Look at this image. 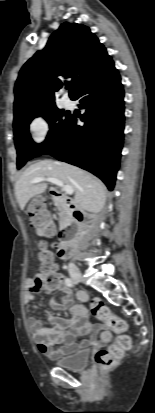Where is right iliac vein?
Wrapping results in <instances>:
<instances>
[{"label": "right iliac vein", "mask_w": 155, "mask_h": 413, "mask_svg": "<svg viewBox=\"0 0 155 413\" xmlns=\"http://www.w3.org/2000/svg\"><path fill=\"white\" fill-rule=\"evenodd\" d=\"M71 277L75 282H83L84 281V278H83L82 274L80 272H77V271L72 272Z\"/></svg>", "instance_id": "obj_1"}]
</instances>
